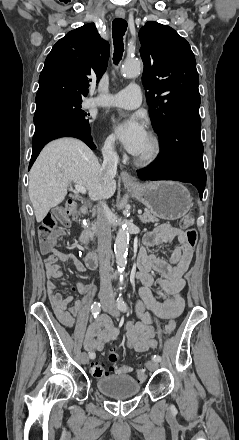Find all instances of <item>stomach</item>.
Segmentation results:
<instances>
[{
	"label": "stomach",
	"mask_w": 239,
	"mask_h": 440,
	"mask_svg": "<svg viewBox=\"0 0 239 440\" xmlns=\"http://www.w3.org/2000/svg\"><path fill=\"white\" fill-rule=\"evenodd\" d=\"M127 190L162 220H179L192 208L190 192L179 182H147Z\"/></svg>",
	"instance_id": "1"
}]
</instances>
